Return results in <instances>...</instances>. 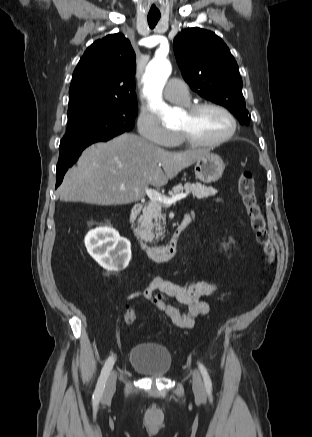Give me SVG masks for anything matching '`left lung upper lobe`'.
Instances as JSON below:
<instances>
[{"instance_id": "5c2ea615", "label": "left lung upper lobe", "mask_w": 312, "mask_h": 437, "mask_svg": "<svg viewBox=\"0 0 312 437\" xmlns=\"http://www.w3.org/2000/svg\"><path fill=\"white\" fill-rule=\"evenodd\" d=\"M174 53L194 91L225 106L241 124L249 123L239 68L221 38L209 30L188 28L175 37Z\"/></svg>"}]
</instances>
